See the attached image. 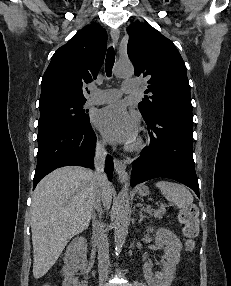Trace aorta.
<instances>
[{
  "label": "aorta",
  "mask_w": 231,
  "mask_h": 286,
  "mask_svg": "<svg viewBox=\"0 0 231 286\" xmlns=\"http://www.w3.org/2000/svg\"><path fill=\"white\" fill-rule=\"evenodd\" d=\"M117 77H129L134 74L133 65L128 63H117L114 68ZM129 184L126 182L118 195L116 206V217L114 221V239L116 254L120 253L125 242L130 214Z\"/></svg>",
  "instance_id": "aorta-1"
}]
</instances>
